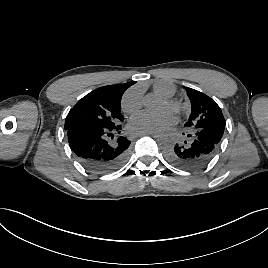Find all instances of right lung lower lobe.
<instances>
[{
    "mask_svg": "<svg viewBox=\"0 0 268 268\" xmlns=\"http://www.w3.org/2000/svg\"><path fill=\"white\" fill-rule=\"evenodd\" d=\"M121 125L112 128L75 126L67 129L68 142L79 162L96 173H109L125 162L130 141Z\"/></svg>",
    "mask_w": 268,
    "mask_h": 268,
    "instance_id": "obj_1",
    "label": "right lung lower lobe"
}]
</instances>
